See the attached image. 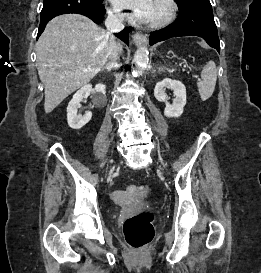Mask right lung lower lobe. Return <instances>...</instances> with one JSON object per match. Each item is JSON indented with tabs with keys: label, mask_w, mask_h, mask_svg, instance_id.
Here are the masks:
<instances>
[{
	"label": "right lung lower lobe",
	"mask_w": 261,
	"mask_h": 273,
	"mask_svg": "<svg viewBox=\"0 0 261 273\" xmlns=\"http://www.w3.org/2000/svg\"><path fill=\"white\" fill-rule=\"evenodd\" d=\"M102 2L100 0H44L37 38L44 31L48 21L61 14L78 13L85 15L95 23H101L106 13ZM115 35L128 44L129 35L127 30H123Z\"/></svg>",
	"instance_id": "right-lung-lower-lobe-1"
}]
</instances>
